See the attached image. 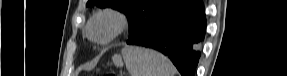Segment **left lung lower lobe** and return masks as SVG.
Wrapping results in <instances>:
<instances>
[{
	"label": "left lung lower lobe",
	"instance_id": "left-lung-lower-lobe-1",
	"mask_svg": "<svg viewBox=\"0 0 287 76\" xmlns=\"http://www.w3.org/2000/svg\"><path fill=\"white\" fill-rule=\"evenodd\" d=\"M205 28L202 0H185L152 21L142 34L129 39L127 44L158 50L172 60L182 76H194Z\"/></svg>",
	"mask_w": 287,
	"mask_h": 76
}]
</instances>
